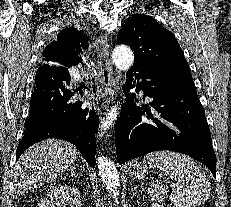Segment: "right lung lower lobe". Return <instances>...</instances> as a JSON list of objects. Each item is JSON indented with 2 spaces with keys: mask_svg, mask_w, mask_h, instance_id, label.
Wrapping results in <instances>:
<instances>
[{
  "mask_svg": "<svg viewBox=\"0 0 231 207\" xmlns=\"http://www.w3.org/2000/svg\"><path fill=\"white\" fill-rule=\"evenodd\" d=\"M62 33L88 39L83 31L68 28ZM70 75L63 66L42 65L36 72L30 113L25 121V134L17 147L16 160L32 144L46 138H59L73 143L87 163L95 167V133L99 118L95 107L75 101L69 89Z\"/></svg>",
  "mask_w": 231,
  "mask_h": 207,
  "instance_id": "1",
  "label": "right lung lower lobe"
}]
</instances>
